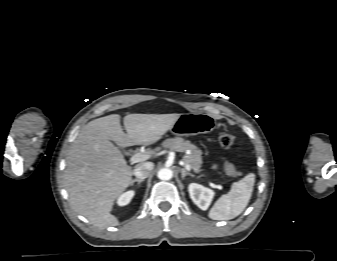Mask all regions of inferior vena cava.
<instances>
[{"label": "inferior vena cava", "instance_id": "1", "mask_svg": "<svg viewBox=\"0 0 337 261\" xmlns=\"http://www.w3.org/2000/svg\"><path fill=\"white\" fill-rule=\"evenodd\" d=\"M153 167L154 164L152 162L138 164L136 165L133 174L139 179H145L150 175Z\"/></svg>", "mask_w": 337, "mask_h": 261}]
</instances>
